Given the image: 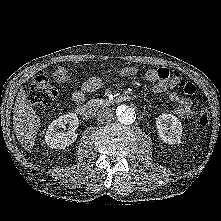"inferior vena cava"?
<instances>
[{"label":"inferior vena cava","mask_w":221,"mask_h":221,"mask_svg":"<svg viewBox=\"0 0 221 221\" xmlns=\"http://www.w3.org/2000/svg\"><path fill=\"white\" fill-rule=\"evenodd\" d=\"M98 122L108 123L113 116L112 110L106 106L100 107L97 111Z\"/></svg>","instance_id":"obj_1"}]
</instances>
